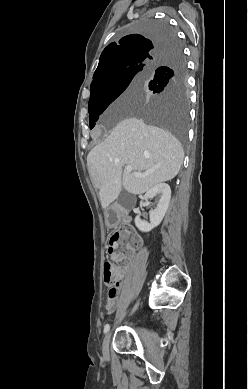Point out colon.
I'll use <instances>...</instances> for the list:
<instances>
[{
    "mask_svg": "<svg viewBox=\"0 0 248 389\" xmlns=\"http://www.w3.org/2000/svg\"><path fill=\"white\" fill-rule=\"evenodd\" d=\"M139 240L128 227H122L110 238L108 255L114 260L131 261V253L138 247ZM121 278L119 268L113 262L104 264L105 285L110 286L108 298L114 299L118 292V283Z\"/></svg>",
    "mask_w": 248,
    "mask_h": 389,
    "instance_id": "5ec220e1",
    "label": "colon"
}]
</instances>
